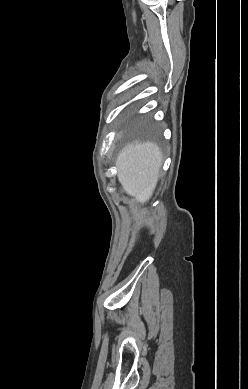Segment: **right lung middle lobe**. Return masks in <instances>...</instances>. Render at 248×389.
<instances>
[{"label": "right lung middle lobe", "mask_w": 248, "mask_h": 389, "mask_svg": "<svg viewBox=\"0 0 248 389\" xmlns=\"http://www.w3.org/2000/svg\"><path fill=\"white\" fill-rule=\"evenodd\" d=\"M153 135V132L146 130V129H140L139 130V136L141 137H150Z\"/></svg>", "instance_id": "dd1d6c3e"}]
</instances>
